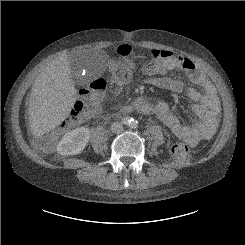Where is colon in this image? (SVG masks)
<instances>
[{
	"instance_id": "colon-1",
	"label": "colon",
	"mask_w": 245,
	"mask_h": 245,
	"mask_svg": "<svg viewBox=\"0 0 245 245\" xmlns=\"http://www.w3.org/2000/svg\"><path fill=\"white\" fill-rule=\"evenodd\" d=\"M135 55L139 54H135L131 48H128L122 57H118L112 62L108 76L98 77L89 81L80 90V99L74 104V110L71 116L64 121V124L60 128L41 136L38 139L39 144L41 146L52 144L63 132L71 130L98 114L101 106L100 96L106 89L108 87L117 88L120 84L130 79V61ZM170 152L176 158H185L191 153V148L188 144L178 142L170 146Z\"/></svg>"
}]
</instances>
